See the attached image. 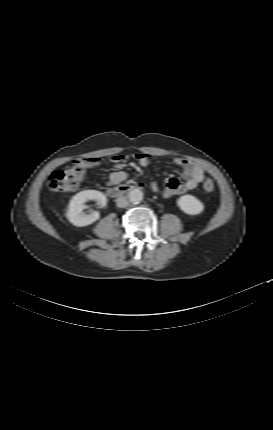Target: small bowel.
Segmentation results:
<instances>
[{
    "label": "small bowel",
    "instance_id": "1",
    "mask_svg": "<svg viewBox=\"0 0 273 430\" xmlns=\"http://www.w3.org/2000/svg\"><path fill=\"white\" fill-rule=\"evenodd\" d=\"M136 159L137 162L143 167L148 166L150 163V156L146 153L137 154ZM110 160L114 164H120L125 160V157L123 155H115L112 156ZM174 163L182 169V176L184 178L183 182L173 177L167 178L164 182V188L162 190L160 189L158 183H152V189L164 198H170L174 195L182 194L194 189L200 182H202L205 177V172L201 166L193 164L184 158L176 157L174 158ZM97 164L98 159H87L86 157H82V159H78L74 162L75 166H80L84 169ZM126 178L127 174L124 171H114L108 176L110 184L121 183Z\"/></svg>",
    "mask_w": 273,
    "mask_h": 430
}]
</instances>
